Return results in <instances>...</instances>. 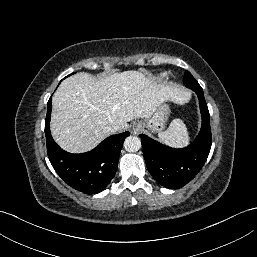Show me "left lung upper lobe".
Instances as JSON below:
<instances>
[{
    "label": "left lung upper lobe",
    "instance_id": "left-lung-upper-lobe-1",
    "mask_svg": "<svg viewBox=\"0 0 257 257\" xmlns=\"http://www.w3.org/2000/svg\"><path fill=\"white\" fill-rule=\"evenodd\" d=\"M183 82L186 87L192 89L193 91L202 90L199 83L196 81V79L192 76V74L189 71L185 72Z\"/></svg>",
    "mask_w": 257,
    "mask_h": 257
}]
</instances>
